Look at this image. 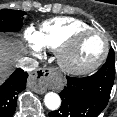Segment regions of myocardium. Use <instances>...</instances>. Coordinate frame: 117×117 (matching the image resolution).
<instances>
[{
    "label": "myocardium",
    "instance_id": "obj_1",
    "mask_svg": "<svg viewBox=\"0 0 117 117\" xmlns=\"http://www.w3.org/2000/svg\"><path fill=\"white\" fill-rule=\"evenodd\" d=\"M88 35H98L100 36L104 41V49L102 54L92 63L85 64V65H79L73 62L72 55L80 42L82 38ZM109 53V40L105 33H103L100 30L90 28L85 30H80L72 34L65 43L59 48L57 59L60 68L70 74V75H86L89 74L96 69H98L105 59L107 58Z\"/></svg>",
    "mask_w": 117,
    "mask_h": 117
}]
</instances>
